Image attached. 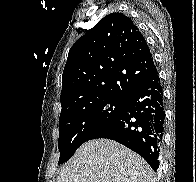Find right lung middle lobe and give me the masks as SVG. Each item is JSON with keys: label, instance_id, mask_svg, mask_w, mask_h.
Instances as JSON below:
<instances>
[{"label": "right lung middle lobe", "instance_id": "1", "mask_svg": "<svg viewBox=\"0 0 196 182\" xmlns=\"http://www.w3.org/2000/svg\"><path fill=\"white\" fill-rule=\"evenodd\" d=\"M126 101L127 98L100 97L61 112L58 164L66 162L82 143L121 113Z\"/></svg>", "mask_w": 196, "mask_h": 182}]
</instances>
